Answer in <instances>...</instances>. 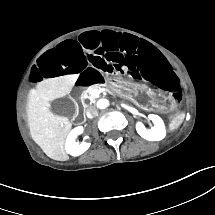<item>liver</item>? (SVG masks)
I'll return each mask as SVG.
<instances>
[{
  "instance_id": "liver-1",
  "label": "liver",
  "mask_w": 215,
  "mask_h": 215,
  "mask_svg": "<svg viewBox=\"0 0 215 215\" xmlns=\"http://www.w3.org/2000/svg\"><path fill=\"white\" fill-rule=\"evenodd\" d=\"M78 77L79 74H71L45 79L29 93L27 115L31 137L52 159L65 155L64 143L72 124L67 117L50 111V101L70 94Z\"/></svg>"
}]
</instances>
